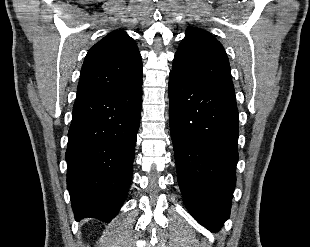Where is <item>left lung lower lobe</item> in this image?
I'll return each mask as SVG.
<instances>
[{
	"label": "left lung lower lobe",
	"mask_w": 310,
	"mask_h": 247,
	"mask_svg": "<svg viewBox=\"0 0 310 247\" xmlns=\"http://www.w3.org/2000/svg\"><path fill=\"white\" fill-rule=\"evenodd\" d=\"M169 119L184 203L201 225L218 231L229 218L236 182L235 94L171 71Z\"/></svg>",
	"instance_id": "left-lung-lower-lobe-1"
}]
</instances>
